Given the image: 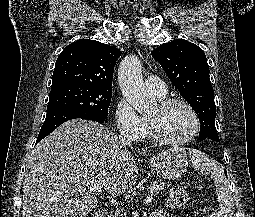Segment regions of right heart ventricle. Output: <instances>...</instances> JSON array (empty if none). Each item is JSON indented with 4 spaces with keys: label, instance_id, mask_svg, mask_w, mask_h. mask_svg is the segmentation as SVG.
<instances>
[{
    "label": "right heart ventricle",
    "instance_id": "1",
    "mask_svg": "<svg viewBox=\"0 0 255 217\" xmlns=\"http://www.w3.org/2000/svg\"><path fill=\"white\" fill-rule=\"evenodd\" d=\"M157 97V96H156ZM158 99H163L164 97H157Z\"/></svg>",
    "mask_w": 255,
    "mask_h": 217
}]
</instances>
